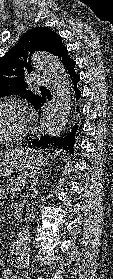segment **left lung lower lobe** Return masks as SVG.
<instances>
[{
  "mask_svg": "<svg viewBox=\"0 0 113 279\" xmlns=\"http://www.w3.org/2000/svg\"><path fill=\"white\" fill-rule=\"evenodd\" d=\"M62 62L65 65L66 69L69 71V75L74 84V89L76 92V98L80 97V91L77 89L76 84L79 82V75L76 74L74 67L76 62L71 59L67 54L62 58ZM45 95L40 99V101L34 106L36 110H39L43 103L45 102ZM77 131L76 125L73 127V131L67 134L64 138L59 137H49L42 136L39 140L35 139L32 141L33 146H36L41 149L49 148V147H58L63 148L65 150H69L71 153H74V143H75V132Z\"/></svg>",
  "mask_w": 113,
  "mask_h": 279,
  "instance_id": "left-lung-lower-lobe-1",
  "label": "left lung lower lobe"
}]
</instances>
